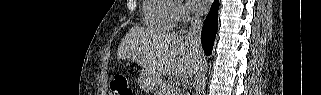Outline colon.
Masks as SVG:
<instances>
[{"label":"colon","mask_w":321,"mask_h":95,"mask_svg":"<svg viewBox=\"0 0 321 95\" xmlns=\"http://www.w3.org/2000/svg\"><path fill=\"white\" fill-rule=\"evenodd\" d=\"M111 91L115 95H132V89L128 80L123 75H116L110 84Z\"/></svg>","instance_id":"colon-1"}]
</instances>
